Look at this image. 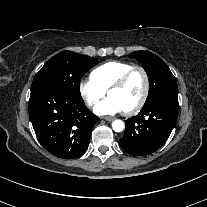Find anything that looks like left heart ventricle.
Listing matches in <instances>:
<instances>
[{
    "mask_svg": "<svg viewBox=\"0 0 207 207\" xmlns=\"http://www.w3.org/2000/svg\"><path fill=\"white\" fill-rule=\"evenodd\" d=\"M143 91L144 79L142 74L137 72L130 77L123 87L111 90L108 95L114 97L125 111L138 102Z\"/></svg>",
    "mask_w": 207,
    "mask_h": 207,
    "instance_id": "obj_1",
    "label": "left heart ventricle"
}]
</instances>
